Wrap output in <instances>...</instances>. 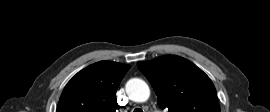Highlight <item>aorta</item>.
Masks as SVG:
<instances>
[{
  "instance_id": "762f6f07",
  "label": "aorta",
  "mask_w": 270,
  "mask_h": 112,
  "mask_svg": "<svg viewBox=\"0 0 270 112\" xmlns=\"http://www.w3.org/2000/svg\"><path fill=\"white\" fill-rule=\"evenodd\" d=\"M126 91L129 97L135 102H145L150 96V89L147 83L139 78H133L126 84Z\"/></svg>"
}]
</instances>
